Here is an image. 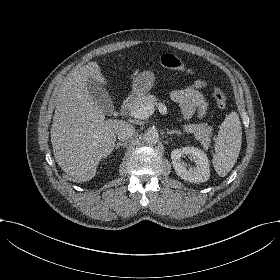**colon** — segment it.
<instances>
[{"label": "colon", "mask_w": 280, "mask_h": 280, "mask_svg": "<svg viewBox=\"0 0 280 280\" xmlns=\"http://www.w3.org/2000/svg\"><path fill=\"white\" fill-rule=\"evenodd\" d=\"M161 63L165 67L172 66L173 71L180 75H185L189 71V65L187 62L181 60L174 61L173 56L170 54L163 55L161 58ZM212 96L220 108L225 107L227 98L224 91L221 89H214L212 91Z\"/></svg>", "instance_id": "colon-1"}]
</instances>
